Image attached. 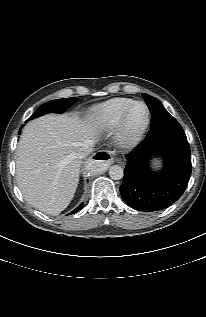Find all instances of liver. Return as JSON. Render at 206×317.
I'll return each mask as SVG.
<instances>
[{
    "label": "liver",
    "mask_w": 206,
    "mask_h": 317,
    "mask_svg": "<svg viewBox=\"0 0 206 317\" xmlns=\"http://www.w3.org/2000/svg\"><path fill=\"white\" fill-rule=\"evenodd\" d=\"M99 135L98 123L89 118L48 114L24 128L16 159V179L26 201L34 208L58 215L74 197L83 144Z\"/></svg>",
    "instance_id": "obj_1"
}]
</instances>
